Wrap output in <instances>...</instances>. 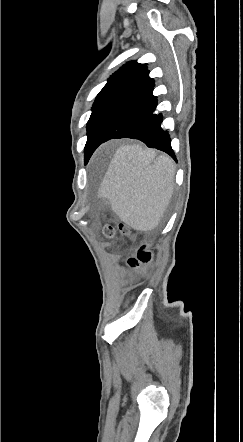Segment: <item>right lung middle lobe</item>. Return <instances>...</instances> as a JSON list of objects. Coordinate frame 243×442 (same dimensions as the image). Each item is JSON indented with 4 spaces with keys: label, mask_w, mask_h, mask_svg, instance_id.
I'll return each mask as SVG.
<instances>
[{
    "label": "right lung middle lobe",
    "mask_w": 243,
    "mask_h": 442,
    "mask_svg": "<svg viewBox=\"0 0 243 442\" xmlns=\"http://www.w3.org/2000/svg\"><path fill=\"white\" fill-rule=\"evenodd\" d=\"M124 97L121 96H105L96 98L95 103L92 107V114L87 123V143L85 149L92 137L94 131L104 119V117L108 114V112ZM87 162V161H86Z\"/></svg>",
    "instance_id": "dd1d6c3e"
}]
</instances>
